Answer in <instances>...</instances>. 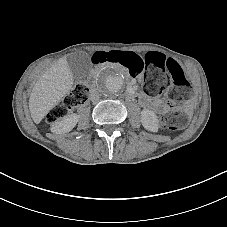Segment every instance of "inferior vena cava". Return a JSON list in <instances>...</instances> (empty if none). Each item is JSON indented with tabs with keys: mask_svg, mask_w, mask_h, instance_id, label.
Returning <instances> with one entry per match:
<instances>
[{
	"mask_svg": "<svg viewBox=\"0 0 227 227\" xmlns=\"http://www.w3.org/2000/svg\"><path fill=\"white\" fill-rule=\"evenodd\" d=\"M100 96L98 93V90L96 88H93L90 90V99L92 102H97L99 100Z\"/></svg>",
	"mask_w": 227,
	"mask_h": 227,
	"instance_id": "inferior-vena-cava-1",
	"label": "inferior vena cava"
}]
</instances>
